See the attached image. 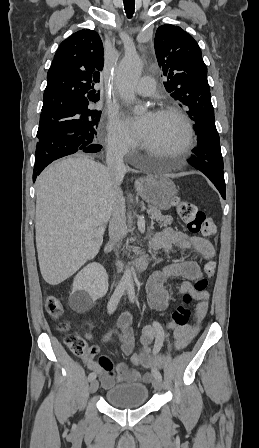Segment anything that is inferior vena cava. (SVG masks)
<instances>
[{"label": "inferior vena cava", "instance_id": "602c4592", "mask_svg": "<svg viewBox=\"0 0 259 448\" xmlns=\"http://www.w3.org/2000/svg\"><path fill=\"white\" fill-rule=\"evenodd\" d=\"M126 146V142H123L121 138H115L107 150L106 164L112 176H120V174L126 172V166L123 162ZM125 212V198H123L122 192H118L115 210L109 224V238L112 244L119 242L127 232Z\"/></svg>", "mask_w": 259, "mask_h": 448}]
</instances>
